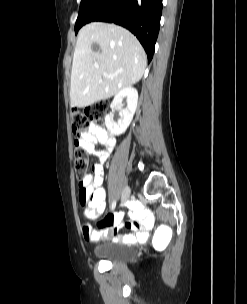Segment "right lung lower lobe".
<instances>
[{
	"instance_id": "right-lung-lower-lobe-1",
	"label": "right lung lower lobe",
	"mask_w": 247,
	"mask_h": 304,
	"mask_svg": "<svg viewBox=\"0 0 247 304\" xmlns=\"http://www.w3.org/2000/svg\"><path fill=\"white\" fill-rule=\"evenodd\" d=\"M161 13L162 0H103L82 24L102 21L127 28L138 38L150 62L158 37Z\"/></svg>"
}]
</instances>
